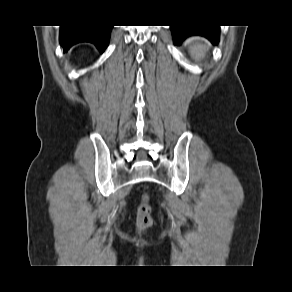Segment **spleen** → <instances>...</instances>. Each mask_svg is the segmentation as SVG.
<instances>
[{"instance_id": "1", "label": "spleen", "mask_w": 292, "mask_h": 292, "mask_svg": "<svg viewBox=\"0 0 292 292\" xmlns=\"http://www.w3.org/2000/svg\"><path fill=\"white\" fill-rule=\"evenodd\" d=\"M187 45L189 53L195 61L204 59L209 50V43L205 39L197 36L188 39Z\"/></svg>"}]
</instances>
